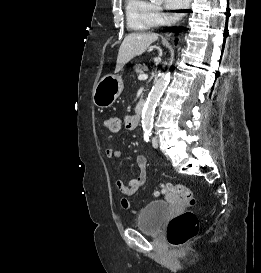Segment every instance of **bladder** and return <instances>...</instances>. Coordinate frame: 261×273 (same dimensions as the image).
<instances>
[{"label": "bladder", "mask_w": 261, "mask_h": 273, "mask_svg": "<svg viewBox=\"0 0 261 273\" xmlns=\"http://www.w3.org/2000/svg\"><path fill=\"white\" fill-rule=\"evenodd\" d=\"M169 209L170 204L168 202H150L141 210L136 219L138 229L148 234L159 233Z\"/></svg>", "instance_id": "bladder-1"}]
</instances>
